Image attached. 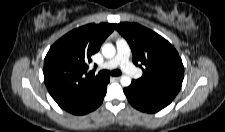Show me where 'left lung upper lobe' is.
I'll return each mask as SVG.
<instances>
[{"label": "left lung upper lobe", "instance_id": "1", "mask_svg": "<svg viewBox=\"0 0 225 132\" xmlns=\"http://www.w3.org/2000/svg\"><path fill=\"white\" fill-rule=\"evenodd\" d=\"M116 29L129 43L134 64L143 65L142 77L133 82L147 89L177 94L182 86L184 67L176 49L166 39L137 23H119Z\"/></svg>", "mask_w": 225, "mask_h": 132}]
</instances>
